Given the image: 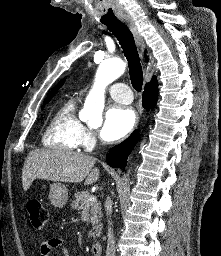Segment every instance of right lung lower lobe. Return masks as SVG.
Listing matches in <instances>:
<instances>
[{
    "label": "right lung lower lobe",
    "mask_w": 221,
    "mask_h": 256,
    "mask_svg": "<svg viewBox=\"0 0 221 256\" xmlns=\"http://www.w3.org/2000/svg\"><path fill=\"white\" fill-rule=\"evenodd\" d=\"M158 98V85L145 87L142 98L144 108H153ZM139 139V132L135 130L126 140L113 147L107 154V162L113 168L125 169L127 157Z\"/></svg>",
    "instance_id": "1"
}]
</instances>
